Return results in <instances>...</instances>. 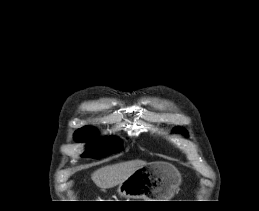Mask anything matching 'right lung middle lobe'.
<instances>
[{
  "label": "right lung middle lobe",
  "instance_id": "1",
  "mask_svg": "<svg viewBox=\"0 0 259 211\" xmlns=\"http://www.w3.org/2000/svg\"><path fill=\"white\" fill-rule=\"evenodd\" d=\"M96 136V130L92 127L85 126L77 130L74 134V138L77 141H87L93 139ZM122 150L121 145L117 141V138H103L97 142H93L88 145L87 151L82 154V157L101 158L109 154L119 152Z\"/></svg>",
  "mask_w": 259,
  "mask_h": 211
}]
</instances>
